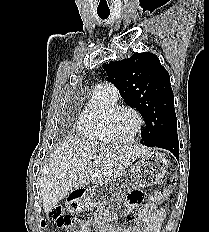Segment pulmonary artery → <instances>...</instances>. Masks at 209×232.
<instances>
[{
	"instance_id": "obj_1",
	"label": "pulmonary artery",
	"mask_w": 209,
	"mask_h": 232,
	"mask_svg": "<svg viewBox=\"0 0 209 232\" xmlns=\"http://www.w3.org/2000/svg\"><path fill=\"white\" fill-rule=\"evenodd\" d=\"M96 89L102 90L110 99L116 101L118 98L117 88L110 82L99 84Z\"/></svg>"
}]
</instances>
